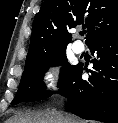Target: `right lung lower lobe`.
Listing matches in <instances>:
<instances>
[{
    "mask_svg": "<svg viewBox=\"0 0 118 123\" xmlns=\"http://www.w3.org/2000/svg\"><path fill=\"white\" fill-rule=\"evenodd\" d=\"M92 60L88 80H83V64H77L69 80L59 89L69 109L84 119L118 123V32L89 46Z\"/></svg>",
    "mask_w": 118,
    "mask_h": 123,
    "instance_id": "1",
    "label": "right lung lower lobe"
}]
</instances>
